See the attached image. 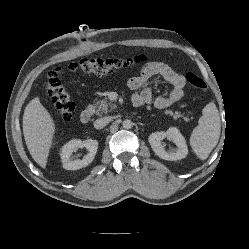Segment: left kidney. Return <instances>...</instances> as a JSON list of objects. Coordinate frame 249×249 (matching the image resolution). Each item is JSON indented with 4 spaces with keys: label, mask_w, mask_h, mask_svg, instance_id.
Wrapping results in <instances>:
<instances>
[{
    "label": "left kidney",
    "mask_w": 249,
    "mask_h": 249,
    "mask_svg": "<svg viewBox=\"0 0 249 249\" xmlns=\"http://www.w3.org/2000/svg\"><path fill=\"white\" fill-rule=\"evenodd\" d=\"M164 138L173 141L178 149L175 152H166L161 144ZM148 141L155 154L164 160H181L188 154L186 140L176 127H170L166 132H154L149 136Z\"/></svg>",
    "instance_id": "5707ae66"
}]
</instances>
